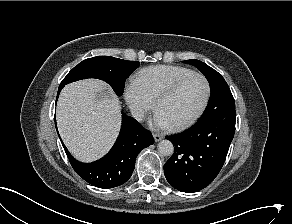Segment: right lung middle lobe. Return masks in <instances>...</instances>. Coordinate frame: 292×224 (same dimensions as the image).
Segmentation results:
<instances>
[{"instance_id": "1", "label": "right lung middle lobe", "mask_w": 292, "mask_h": 224, "mask_svg": "<svg viewBox=\"0 0 292 224\" xmlns=\"http://www.w3.org/2000/svg\"><path fill=\"white\" fill-rule=\"evenodd\" d=\"M139 67L138 61H125L122 59L97 56L86 59L75 66L63 79L60 86L86 79L97 78L107 82L118 96L124 92L125 80Z\"/></svg>"}]
</instances>
